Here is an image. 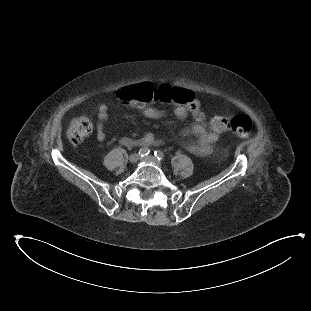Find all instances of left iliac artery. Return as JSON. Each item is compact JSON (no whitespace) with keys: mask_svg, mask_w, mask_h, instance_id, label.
I'll use <instances>...</instances> for the list:
<instances>
[{"mask_svg":"<svg viewBox=\"0 0 311 311\" xmlns=\"http://www.w3.org/2000/svg\"><path fill=\"white\" fill-rule=\"evenodd\" d=\"M154 155L158 160H163L164 159V154L160 150L154 151Z\"/></svg>","mask_w":311,"mask_h":311,"instance_id":"obj_1","label":"left iliac artery"}]
</instances>
